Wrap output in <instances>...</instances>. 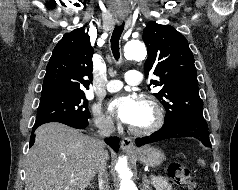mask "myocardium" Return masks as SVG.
Instances as JSON below:
<instances>
[{
    "instance_id": "obj_1",
    "label": "myocardium",
    "mask_w": 238,
    "mask_h": 190,
    "mask_svg": "<svg viewBox=\"0 0 238 190\" xmlns=\"http://www.w3.org/2000/svg\"><path fill=\"white\" fill-rule=\"evenodd\" d=\"M138 100L150 108L153 118L149 125L145 127H135L130 125L129 130L134 135L147 136L156 132L163 125L164 113L160 104L153 97L149 95H141Z\"/></svg>"
}]
</instances>
